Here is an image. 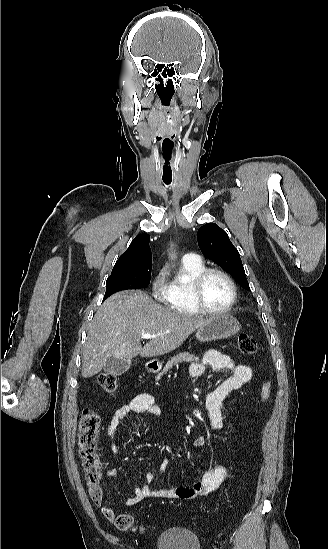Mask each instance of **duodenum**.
<instances>
[{"label": "duodenum", "instance_id": "obj_1", "mask_svg": "<svg viewBox=\"0 0 328 549\" xmlns=\"http://www.w3.org/2000/svg\"><path fill=\"white\" fill-rule=\"evenodd\" d=\"M148 369H149L150 371H154V370H155V367H154L153 365H149V366H148Z\"/></svg>", "mask_w": 328, "mask_h": 549}]
</instances>
